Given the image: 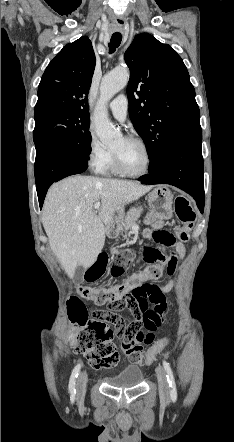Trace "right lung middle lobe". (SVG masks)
<instances>
[{
	"mask_svg": "<svg viewBox=\"0 0 234 442\" xmlns=\"http://www.w3.org/2000/svg\"><path fill=\"white\" fill-rule=\"evenodd\" d=\"M33 139L35 145L43 141L69 144L86 156L90 154V115L86 111H54L35 116Z\"/></svg>",
	"mask_w": 234,
	"mask_h": 442,
	"instance_id": "obj_1",
	"label": "right lung middle lobe"
}]
</instances>
